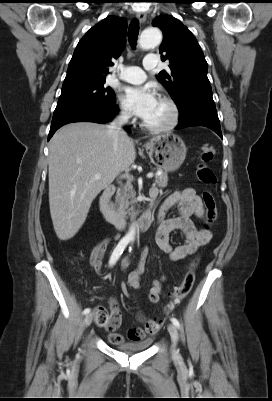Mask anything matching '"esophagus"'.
Segmentation results:
<instances>
[{"label":"esophagus","instance_id":"obj_1","mask_svg":"<svg viewBox=\"0 0 272 401\" xmlns=\"http://www.w3.org/2000/svg\"><path fill=\"white\" fill-rule=\"evenodd\" d=\"M136 17L138 18V20L143 23L146 20V13L144 12H137L136 13Z\"/></svg>","mask_w":272,"mask_h":401}]
</instances>
